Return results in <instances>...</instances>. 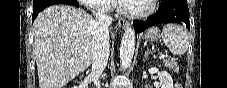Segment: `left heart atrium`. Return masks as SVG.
Wrapping results in <instances>:
<instances>
[{"instance_id": "left-heart-atrium-1", "label": "left heart atrium", "mask_w": 227, "mask_h": 88, "mask_svg": "<svg viewBox=\"0 0 227 88\" xmlns=\"http://www.w3.org/2000/svg\"><path fill=\"white\" fill-rule=\"evenodd\" d=\"M133 1L132 0H120L119 3L122 4V5H128L130 3H132Z\"/></svg>"}]
</instances>
